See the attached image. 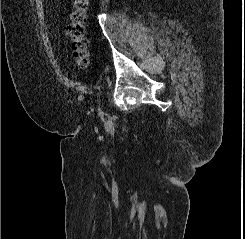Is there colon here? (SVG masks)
<instances>
[{
	"mask_svg": "<svg viewBox=\"0 0 245 239\" xmlns=\"http://www.w3.org/2000/svg\"><path fill=\"white\" fill-rule=\"evenodd\" d=\"M90 0H74V11L67 26V35L71 40V50L77 66L86 70L90 65V51L85 35L86 14Z\"/></svg>",
	"mask_w": 245,
	"mask_h": 239,
	"instance_id": "obj_1",
	"label": "colon"
}]
</instances>
